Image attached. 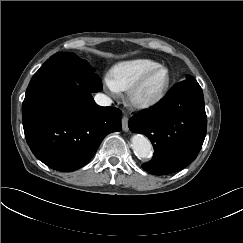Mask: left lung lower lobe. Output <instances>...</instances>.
Wrapping results in <instances>:
<instances>
[{
	"instance_id": "1",
	"label": "left lung lower lobe",
	"mask_w": 243,
	"mask_h": 243,
	"mask_svg": "<svg viewBox=\"0 0 243 243\" xmlns=\"http://www.w3.org/2000/svg\"><path fill=\"white\" fill-rule=\"evenodd\" d=\"M132 132L152 142L154 157L142 165L151 174L179 171L197 157L206 136L204 97L195 79L174 85L157 104L129 119Z\"/></svg>"
}]
</instances>
